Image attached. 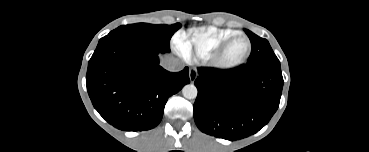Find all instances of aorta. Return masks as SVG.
Masks as SVG:
<instances>
[{"mask_svg": "<svg viewBox=\"0 0 369 152\" xmlns=\"http://www.w3.org/2000/svg\"><path fill=\"white\" fill-rule=\"evenodd\" d=\"M197 88L193 84H187L182 89V94L186 99H195L197 97Z\"/></svg>", "mask_w": 369, "mask_h": 152, "instance_id": "aorta-1", "label": "aorta"}]
</instances>
